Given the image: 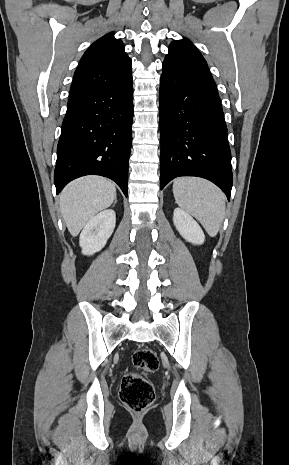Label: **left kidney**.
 Returning <instances> with one entry per match:
<instances>
[{
    "label": "left kidney",
    "mask_w": 289,
    "mask_h": 465,
    "mask_svg": "<svg viewBox=\"0 0 289 465\" xmlns=\"http://www.w3.org/2000/svg\"><path fill=\"white\" fill-rule=\"evenodd\" d=\"M173 222L180 235L188 242L201 245L205 235L199 224L184 210L176 208L173 212Z\"/></svg>",
    "instance_id": "obj_1"
}]
</instances>
